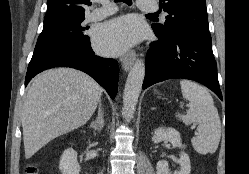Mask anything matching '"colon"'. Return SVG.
<instances>
[{
    "instance_id": "colon-1",
    "label": "colon",
    "mask_w": 249,
    "mask_h": 174,
    "mask_svg": "<svg viewBox=\"0 0 249 174\" xmlns=\"http://www.w3.org/2000/svg\"><path fill=\"white\" fill-rule=\"evenodd\" d=\"M25 174H40L35 164H29L25 169Z\"/></svg>"
}]
</instances>
